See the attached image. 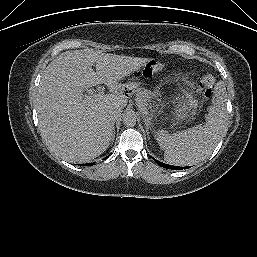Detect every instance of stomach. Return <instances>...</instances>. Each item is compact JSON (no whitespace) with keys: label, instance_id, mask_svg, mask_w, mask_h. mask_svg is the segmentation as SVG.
<instances>
[{"label":"stomach","instance_id":"obj_1","mask_svg":"<svg viewBox=\"0 0 257 257\" xmlns=\"http://www.w3.org/2000/svg\"><path fill=\"white\" fill-rule=\"evenodd\" d=\"M127 87H128V89L134 90L135 92H136V90L141 89L139 87V85H137V84H130Z\"/></svg>","mask_w":257,"mask_h":257}]
</instances>
